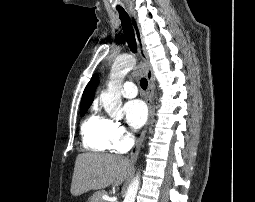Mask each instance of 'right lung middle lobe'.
<instances>
[{
  "label": "right lung middle lobe",
  "instance_id": "1",
  "mask_svg": "<svg viewBox=\"0 0 255 202\" xmlns=\"http://www.w3.org/2000/svg\"><path fill=\"white\" fill-rule=\"evenodd\" d=\"M88 108H89V106H86V105L80 106V114L84 115Z\"/></svg>",
  "mask_w": 255,
  "mask_h": 202
}]
</instances>
